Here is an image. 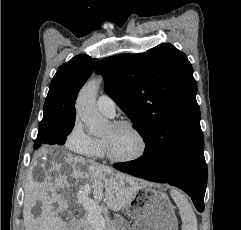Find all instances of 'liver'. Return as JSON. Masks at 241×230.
Masks as SVG:
<instances>
[{"label":"liver","instance_id":"liver-1","mask_svg":"<svg viewBox=\"0 0 241 230\" xmlns=\"http://www.w3.org/2000/svg\"><path fill=\"white\" fill-rule=\"evenodd\" d=\"M47 153L48 151L43 149L34 156L33 166L42 168L43 180L36 181L30 175L25 184L23 204L25 230H67L66 224L53 207V204L57 203L60 209L68 208L64 197L57 193L58 189L70 194L73 187H79V191L89 187L93 189L96 199L102 196L105 189L107 206L112 211H119L128 205L139 186L140 181L133 177L125 176L110 167L71 153H64L62 157L51 160L46 158ZM39 157L42 159L45 157L41 164L37 162ZM53 175L55 178L51 182ZM38 201L42 203L41 214L35 218L32 208Z\"/></svg>","mask_w":241,"mask_h":230}]
</instances>
